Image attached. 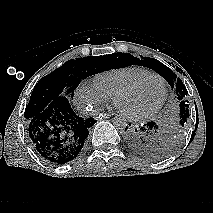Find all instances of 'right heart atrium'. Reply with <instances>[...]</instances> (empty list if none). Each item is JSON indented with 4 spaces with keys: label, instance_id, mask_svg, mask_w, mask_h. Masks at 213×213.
<instances>
[{
    "label": "right heart atrium",
    "instance_id": "d8ad5b80",
    "mask_svg": "<svg viewBox=\"0 0 213 213\" xmlns=\"http://www.w3.org/2000/svg\"><path fill=\"white\" fill-rule=\"evenodd\" d=\"M109 98L96 86L88 81L82 82L75 91V102L78 107L90 110L109 102Z\"/></svg>",
    "mask_w": 213,
    "mask_h": 213
}]
</instances>
